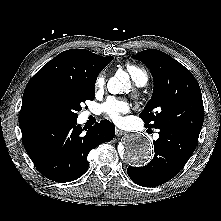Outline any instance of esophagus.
<instances>
[{"label":"esophagus","instance_id":"1","mask_svg":"<svg viewBox=\"0 0 221 221\" xmlns=\"http://www.w3.org/2000/svg\"><path fill=\"white\" fill-rule=\"evenodd\" d=\"M115 133H116L117 136H122V135H124L126 132H125V131H122V130H120V129H116V130H115Z\"/></svg>","mask_w":221,"mask_h":221}]
</instances>
